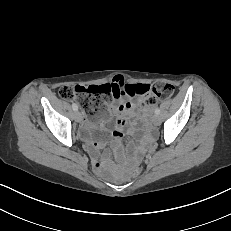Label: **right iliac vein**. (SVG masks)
Instances as JSON below:
<instances>
[{
  "instance_id": "right-iliac-vein-1",
  "label": "right iliac vein",
  "mask_w": 231,
  "mask_h": 231,
  "mask_svg": "<svg viewBox=\"0 0 231 231\" xmlns=\"http://www.w3.org/2000/svg\"><path fill=\"white\" fill-rule=\"evenodd\" d=\"M75 120L77 122H81L82 121V114L79 111H76L74 114Z\"/></svg>"
}]
</instances>
